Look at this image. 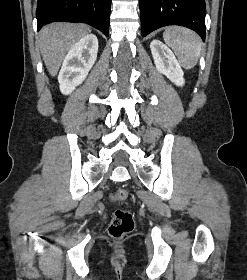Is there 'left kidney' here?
I'll use <instances>...</instances> for the list:
<instances>
[{
	"label": "left kidney",
	"mask_w": 247,
	"mask_h": 280,
	"mask_svg": "<svg viewBox=\"0 0 247 280\" xmlns=\"http://www.w3.org/2000/svg\"><path fill=\"white\" fill-rule=\"evenodd\" d=\"M150 49L156 69L169 78L175 85L183 86L185 82L183 71L173 52L165 44L156 39L150 43Z\"/></svg>",
	"instance_id": "obj_1"
}]
</instances>
